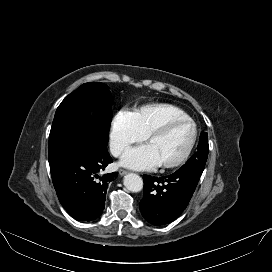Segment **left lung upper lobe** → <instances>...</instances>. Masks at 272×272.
Here are the masks:
<instances>
[{
    "instance_id": "1",
    "label": "left lung upper lobe",
    "mask_w": 272,
    "mask_h": 272,
    "mask_svg": "<svg viewBox=\"0 0 272 272\" xmlns=\"http://www.w3.org/2000/svg\"><path fill=\"white\" fill-rule=\"evenodd\" d=\"M197 149V153L193 155L180 169L185 170L195 168L198 170H204L209 151L208 134L206 132L201 133Z\"/></svg>"
}]
</instances>
